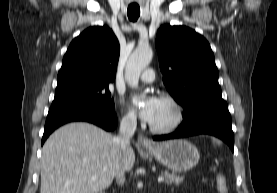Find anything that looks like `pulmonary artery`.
I'll list each match as a JSON object with an SVG mask.
<instances>
[{
    "label": "pulmonary artery",
    "instance_id": "pulmonary-artery-1",
    "mask_svg": "<svg viewBox=\"0 0 277 193\" xmlns=\"http://www.w3.org/2000/svg\"><path fill=\"white\" fill-rule=\"evenodd\" d=\"M141 81L142 82H145V83H151L154 81L155 79V73L152 69H146L142 74H141V77H140Z\"/></svg>",
    "mask_w": 277,
    "mask_h": 193
}]
</instances>
